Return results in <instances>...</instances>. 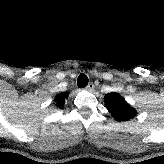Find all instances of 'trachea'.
<instances>
[{"mask_svg": "<svg viewBox=\"0 0 164 164\" xmlns=\"http://www.w3.org/2000/svg\"><path fill=\"white\" fill-rule=\"evenodd\" d=\"M88 77L84 74V73H81L79 76H78V79H77V85L78 87H86L87 84H88Z\"/></svg>", "mask_w": 164, "mask_h": 164, "instance_id": "3493384b", "label": "trachea"}]
</instances>
